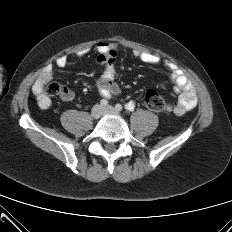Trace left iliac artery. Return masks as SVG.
I'll list each match as a JSON object with an SVG mask.
<instances>
[{
	"label": "left iliac artery",
	"instance_id": "left-iliac-artery-1",
	"mask_svg": "<svg viewBox=\"0 0 232 232\" xmlns=\"http://www.w3.org/2000/svg\"><path fill=\"white\" fill-rule=\"evenodd\" d=\"M134 104L132 103V102H130V103H128L127 105H126V109L127 110H129V111H133L134 110ZM115 109L117 110V111H121L122 109H123V107H122V105L121 104H116L115 105Z\"/></svg>",
	"mask_w": 232,
	"mask_h": 232
}]
</instances>
